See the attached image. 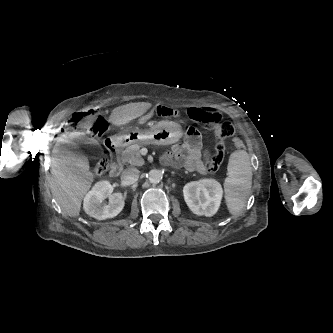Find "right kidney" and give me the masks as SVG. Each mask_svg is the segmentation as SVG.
Here are the masks:
<instances>
[{
    "label": "right kidney",
    "instance_id": "obj_1",
    "mask_svg": "<svg viewBox=\"0 0 333 333\" xmlns=\"http://www.w3.org/2000/svg\"><path fill=\"white\" fill-rule=\"evenodd\" d=\"M113 186L107 180L97 182L84 198L85 212L98 220L117 216L124 207V198L121 193H113ZM109 204H103L105 198Z\"/></svg>",
    "mask_w": 333,
    "mask_h": 333
}]
</instances>
